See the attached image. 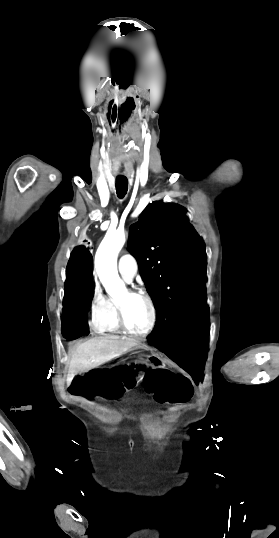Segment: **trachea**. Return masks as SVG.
Instances as JSON below:
<instances>
[{
    "label": "trachea",
    "mask_w": 279,
    "mask_h": 538,
    "mask_svg": "<svg viewBox=\"0 0 279 538\" xmlns=\"http://www.w3.org/2000/svg\"><path fill=\"white\" fill-rule=\"evenodd\" d=\"M128 190V180L124 176H118L116 178V192L119 198H123Z\"/></svg>",
    "instance_id": "1"
}]
</instances>
